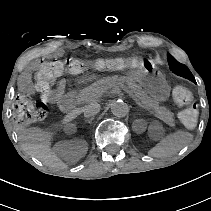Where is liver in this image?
Returning <instances> with one entry per match:
<instances>
[{"instance_id":"obj_1","label":"liver","mask_w":211,"mask_h":211,"mask_svg":"<svg viewBox=\"0 0 211 211\" xmlns=\"http://www.w3.org/2000/svg\"><path fill=\"white\" fill-rule=\"evenodd\" d=\"M74 120L75 117L70 116L68 113L47 129L40 127L27 128L22 124H15L14 128L17 130L21 146L28 155L41 160L49 167L68 169L69 165L52 150V146L59 131Z\"/></svg>"}]
</instances>
